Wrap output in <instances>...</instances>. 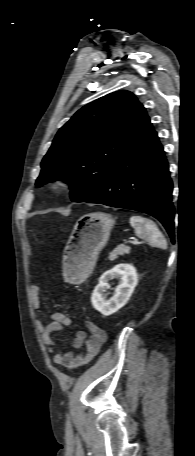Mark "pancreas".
<instances>
[{
    "label": "pancreas",
    "mask_w": 195,
    "mask_h": 456,
    "mask_svg": "<svg viewBox=\"0 0 195 456\" xmlns=\"http://www.w3.org/2000/svg\"><path fill=\"white\" fill-rule=\"evenodd\" d=\"M129 252H130L129 246L119 245L109 254L108 259L113 261V260L117 259L119 256L129 254Z\"/></svg>",
    "instance_id": "cf45deb5"
}]
</instances>
